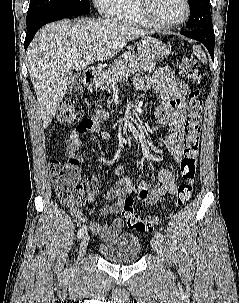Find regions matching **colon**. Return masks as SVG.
<instances>
[{"instance_id":"5ec220e1","label":"colon","mask_w":239,"mask_h":303,"mask_svg":"<svg viewBox=\"0 0 239 303\" xmlns=\"http://www.w3.org/2000/svg\"><path fill=\"white\" fill-rule=\"evenodd\" d=\"M181 75L198 85L201 80L199 63L192 56L182 58L179 65ZM203 102L200 90L192 88L187 102V118L184 125L183 157L180 161L182 182L177 187L174 205H185L192 197L196 175L199 141L201 133V114ZM81 119L80 112L75 107L73 99H66L58 110L56 121L61 124H75ZM50 176L55 193L59 200L68 206H81L85 202V195L89 185L79 170V163L75 159L66 161H52ZM121 215L127 226L136 232L152 231L158 225V218L154 215L140 216L134 210V199L130 196L123 200Z\"/></svg>"}]
</instances>
